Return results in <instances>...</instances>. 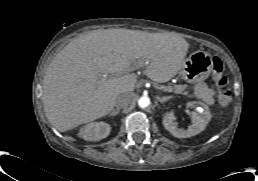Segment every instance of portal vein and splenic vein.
<instances>
[{
  "label": "portal vein and splenic vein",
  "instance_id": "portal-vein-and-splenic-vein-1",
  "mask_svg": "<svg viewBox=\"0 0 258 181\" xmlns=\"http://www.w3.org/2000/svg\"><path fill=\"white\" fill-rule=\"evenodd\" d=\"M164 90L167 91V92H172V88L170 86L169 87H165Z\"/></svg>",
  "mask_w": 258,
  "mask_h": 181
}]
</instances>
